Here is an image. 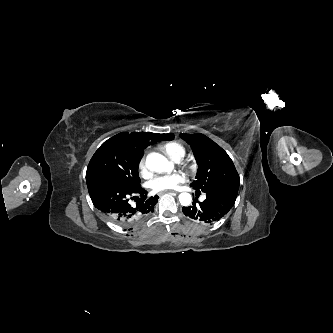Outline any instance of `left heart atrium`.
<instances>
[{
    "label": "left heart atrium",
    "mask_w": 333,
    "mask_h": 333,
    "mask_svg": "<svg viewBox=\"0 0 333 333\" xmlns=\"http://www.w3.org/2000/svg\"><path fill=\"white\" fill-rule=\"evenodd\" d=\"M184 181V176L180 173H170L155 177L151 180L150 186L154 191H167L175 189Z\"/></svg>",
    "instance_id": "1"
}]
</instances>
